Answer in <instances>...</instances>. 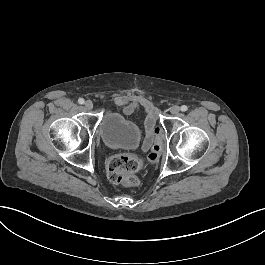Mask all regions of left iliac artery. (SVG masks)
I'll list each match as a JSON object with an SVG mask.
<instances>
[{"instance_id":"obj_1","label":"left iliac artery","mask_w":265,"mask_h":265,"mask_svg":"<svg viewBox=\"0 0 265 265\" xmlns=\"http://www.w3.org/2000/svg\"><path fill=\"white\" fill-rule=\"evenodd\" d=\"M187 109H188V107H187L186 105H182V106H181V111H182V112L187 111Z\"/></svg>"}]
</instances>
